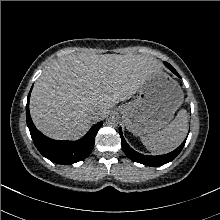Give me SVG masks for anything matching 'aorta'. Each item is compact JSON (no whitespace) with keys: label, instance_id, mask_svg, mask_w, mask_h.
<instances>
[{"label":"aorta","instance_id":"1","mask_svg":"<svg viewBox=\"0 0 220 220\" xmlns=\"http://www.w3.org/2000/svg\"><path fill=\"white\" fill-rule=\"evenodd\" d=\"M106 124L110 127H116L119 124V118L116 115H110L106 120Z\"/></svg>","mask_w":220,"mask_h":220}]
</instances>
